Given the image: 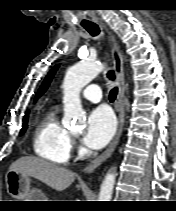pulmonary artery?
<instances>
[{
  "label": "pulmonary artery",
  "mask_w": 176,
  "mask_h": 211,
  "mask_svg": "<svg viewBox=\"0 0 176 211\" xmlns=\"http://www.w3.org/2000/svg\"><path fill=\"white\" fill-rule=\"evenodd\" d=\"M82 96L87 101L98 103L102 98L100 87L96 84H91L83 90Z\"/></svg>",
  "instance_id": "e3ab8cb5"
}]
</instances>
